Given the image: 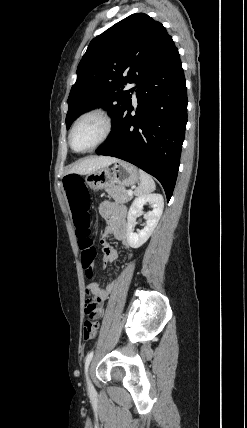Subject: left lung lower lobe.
<instances>
[{"mask_svg":"<svg viewBox=\"0 0 247 428\" xmlns=\"http://www.w3.org/2000/svg\"><path fill=\"white\" fill-rule=\"evenodd\" d=\"M136 97V115L131 114L130 99L115 121L112 136L96 153L120 158L151 174L169 201L187 123V91L177 48L144 75Z\"/></svg>","mask_w":247,"mask_h":428,"instance_id":"1","label":"left lung lower lobe"}]
</instances>
